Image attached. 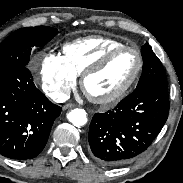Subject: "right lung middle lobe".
<instances>
[{"mask_svg": "<svg viewBox=\"0 0 183 183\" xmlns=\"http://www.w3.org/2000/svg\"><path fill=\"white\" fill-rule=\"evenodd\" d=\"M57 29L37 26L18 29L0 44V71L12 67H26L31 50L48 43Z\"/></svg>", "mask_w": 183, "mask_h": 183, "instance_id": "dd1d6c3e", "label": "right lung middle lobe"}]
</instances>
